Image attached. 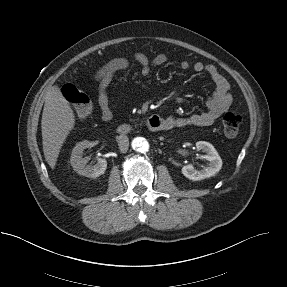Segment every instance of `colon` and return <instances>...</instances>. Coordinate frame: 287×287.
Instances as JSON below:
<instances>
[{
    "label": "colon",
    "instance_id": "colon-1",
    "mask_svg": "<svg viewBox=\"0 0 287 287\" xmlns=\"http://www.w3.org/2000/svg\"><path fill=\"white\" fill-rule=\"evenodd\" d=\"M63 96L74 105L76 113L81 117L88 116L92 111V101L88 95L67 84L62 88ZM242 123L240 115L234 112H227L222 117V126L226 136L234 137L238 134Z\"/></svg>",
    "mask_w": 287,
    "mask_h": 287
}]
</instances>
